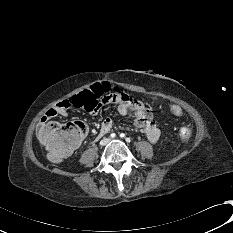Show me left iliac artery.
Masks as SVG:
<instances>
[{"label": "left iliac artery", "mask_w": 233, "mask_h": 233, "mask_svg": "<svg viewBox=\"0 0 233 233\" xmlns=\"http://www.w3.org/2000/svg\"><path fill=\"white\" fill-rule=\"evenodd\" d=\"M120 137H122V138L125 137V134H124V133H121V134H120ZM126 141H127V142H130L131 140H130V138H126Z\"/></svg>", "instance_id": "left-iliac-artery-1"}]
</instances>
